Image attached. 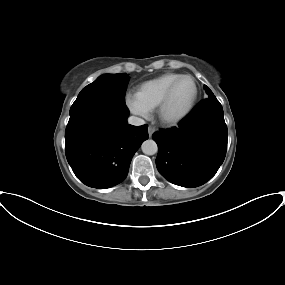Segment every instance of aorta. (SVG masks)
Segmentation results:
<instances>
[{"label": "aorta", "instance_id": "aorta-1", "mask_svg": "<svg viewBox=\"0 0 285 285\" xmlns=\"http://www.w3.org/2000/svg\"><path fill=\"white\" fill-rule=\"evenodd\" d=\"M142 152L146 155H154L158 151V146L154 140H146L141 146Z\"/></svg>", "mask_w": 285, "mask_h": 285}]
</instances>
